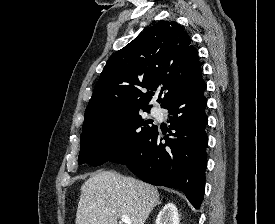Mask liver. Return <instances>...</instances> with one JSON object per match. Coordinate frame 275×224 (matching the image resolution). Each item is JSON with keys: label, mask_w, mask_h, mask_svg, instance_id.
Masks as SVG:
<instances>
[{"label": "liver", "mask_w": 275, "mask_h": 224, "mask_svg": "<svg viewBox=\"0 0 275 224\" xmlns=\"http://www.w3.org/2000/svg\"><path fill=\"white\" fill-rule=\"evenodd\" d=\"M159 200L158 190L132 177L111 171L94 173L81 186L76 224H144Z\"/></svg>", "instance_id": "liver-1"}]
</instances>
